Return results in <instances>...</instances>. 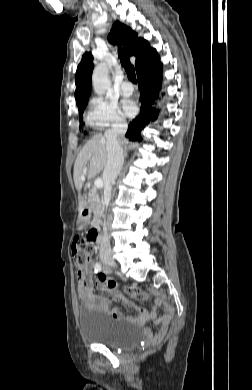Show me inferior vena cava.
Here are the masks:
<instances>
[{
	"label": "inferior vena cava",
	"instance_id": "obj_1",
	"mask_svg": "<svg viewBox=\"0 0 252 390\" xmlns=\"http://www.w3.org/2000/svg\"><path fill=\"white\" fill-rule=\"evenodd\" d=\"M127 131L126 123H116L112 129L105 132L107 162L103 171L104 180V203L106 207L109 205L111 199L112 185L115 183L124 162L123 149L118 141L123 138ZM110 239L107 232V227H103V237L100 243V252H110Z\"/></svg>",
	"mask_w": 252,
	"mask_h": 390
}]
</instances>
